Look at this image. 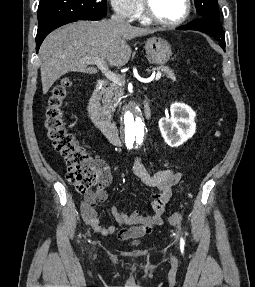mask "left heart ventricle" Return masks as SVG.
I'll return each mask as SVG.
<instances>
[{
	"label": "left heart ventricle",
	"mask_w": 255,
	"mask_h": 287,
	"mask_svg": "<svg viewBox=\"0 0 255 287\" xmlns=\"http://www.w3.org/2000/svg\"><path fill=\"white\" fill-rule=\"evenodd\" d=\"M117 33H127V32H117ZM165 33V32H159ZM115 39H132V38H115ZM113 48H132V47H113ZM151 48H160V47H151Z\"/></svg>",
	"instance_id": "b2bd125f"
}]
</instances>
